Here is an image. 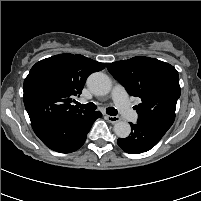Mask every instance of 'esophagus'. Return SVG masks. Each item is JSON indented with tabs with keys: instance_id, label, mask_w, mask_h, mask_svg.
<instances>
[{
	"instance_id": "1",
	"label": "esophagus",
	"mask_w": 201,
	"mask_h": 201,
	"mask_svg": "<svg viewBox=\"0 0 201 201\" xmlns=\"http://www.w3.org/2000/svg\"><path fill=\"white\" fill-rule=\"evenodd\" d=\"M105 117L112 124L117 123V122L120 121V118L118 116L106 115Z\"/></svg>"
}]
</instances>
